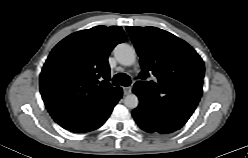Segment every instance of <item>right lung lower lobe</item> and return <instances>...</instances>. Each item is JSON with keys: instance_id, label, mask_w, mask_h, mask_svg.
I'll use <instances>...</instances> for the list:
<instances>
[{"instance_id": "98d812e1", "label": "right lung lower lobe", "mask_w": 248, "mask_h": 158, "mask_svg": "<svg viewBox=\"0 0 248 158\" xmlns=\"http://www.w3.org/2000/svg\"><path fill=\"white\" fill-rule=\"evenodd\" d=\"M122 97V89H119L105 101L97 110L82 118L69 122L59 123L64 129L75 133H86L99 128L110 116L114 106Z\"/></svg>"}]
</instances>
